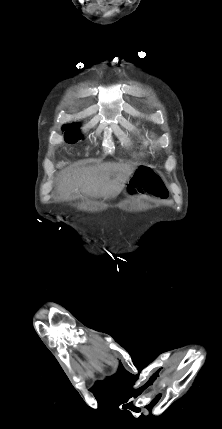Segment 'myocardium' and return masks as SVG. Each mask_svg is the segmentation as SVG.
I'll return each instance as SVG.
<instances>
[{
  "mask_svg": "<svg viewBox=\"0 0 222 429\" xmlns=\"http://www.w3.org/2000/svg\"><path fill=\"white\" fill-rule=\"evenodd\" d=\"M152 144H153V146H154V147H156V146H157V144H156L155 142H153Z\"/></svg>",
  "mask_w": 222,
  "mask_h": 429,
  "instance_id": "f54148a6",
  "label": "myocardium"
}]
</instances>
